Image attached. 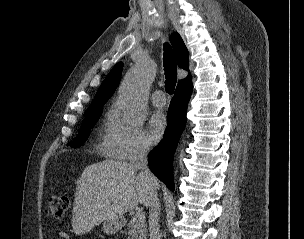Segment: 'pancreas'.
Listing matches in <instances>:
<instances>
[{
	"label": "pancreas",
	"instance_id": "cf45deb5",
	"mask_svg": "<svg viewBox=\"0 0 304 239\" xmlns=\"http://www.w3.org/2000/svg\"><path fill=\"white\" fill-rule=\"evenodd\" d=\"M135 218V217H134ZM128 224L127 239H147V229L144 221L134 220Z\"/></svg>",
	"mask_w": 304,
	"mask_h": 239
}]
</instances>
